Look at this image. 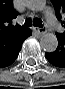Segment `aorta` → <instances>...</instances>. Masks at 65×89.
Returning <instances> with one entry per match:
<instances>
[{
  "label": "aorta",
  "instance_id": "aorta-1",
  "mask_svg": "<svg viewBox=\"0 0 65 89\" xmlns=\"http://www.w3.org/2000/svg\"><path fill=\"white\" fill-rule=\"evenodd\" d=\"M29 8L34 11H42L46 7V3L43 0H34L29 2ZM40 46L45 52L52 53L57 49L58 40L54 33H45L40 39Z\"/></svg>",
  "mask_w": 65,
  "mask_h": 89
}]
</instances>
